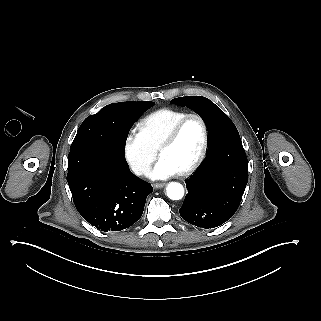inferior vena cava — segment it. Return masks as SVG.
Here are the masks:
<instances>
[{
    "label": "inferior vena cava",
    "instance_id": "obj_1",
    "mask_svg": "<svg viewBox=\"0 0 321 321\" xmlns=\"http://www.w3.org/2000/svg\"><path fill=\"white\" fill-rule=\"evenodd\" d=\"M132 170L136 175H145L146 177H149L152 171L151 167L143 165H135Z\"/></svg>",
    "mask_w": 321,
    "mask_h": 321
}]
</instances>
